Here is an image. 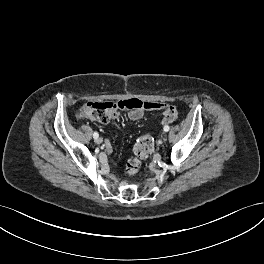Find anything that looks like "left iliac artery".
Returning <instances> with one entry per match:
<instances>
[{"label": "left iliac artery", "instance_id": "1", "mask_svg": "<svg viewBox=\"0 0 264 264\" xmlns=\"http://www.w3.org/2000/svg\"><path fill=\"white\" fill-rule=\"evenodd\" d=\"M163 129H164V131H165V132H168V131H169V129H170V127H169L168 125H166V126H164V128H163Z\"/></svg>", "mask_w": 264, "mask_h": 264}]
</instances>
